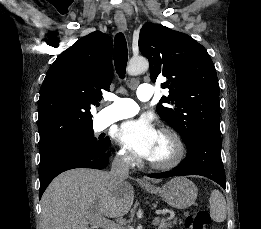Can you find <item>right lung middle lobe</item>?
I'll use <instances>...</instances> for the list:
<instances>
[{
	"mask_svg": "<svg viewBox=\"0 0 261 229\" xmlns=\"http://www.w3.org/2000/svg\"><path fill=\"white\" fill-rule=\"evenodd\" d=\"M110 139L108 137H94L93 130L62 145L40 150V161L63 154L99 153L108 150Z\"/></svg>",
	"mask_w": 261,
	"mask_h": 229,
	"instance_id": "obj_1",
	"label": "right lung middle lobe"
}]
</instances>
